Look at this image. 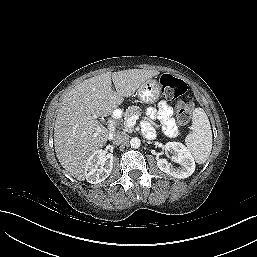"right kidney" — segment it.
<instances>
[{"mask_svg":"<svg viewBox=\"0 0 257 257\" xmlns=\"http://www.w3.org/2000/svg\"><path fill=\"white\" fill-rule=\"evenodd\" d=\"M113 154L105 155L104 151H95L87 160L84 175L87 182L98 184L109 177L113 168Z\"/></svg>","mask_w":257,"mask_h":257,"instance_id":"obj_1","label":"right kidney"}]
</instances>
